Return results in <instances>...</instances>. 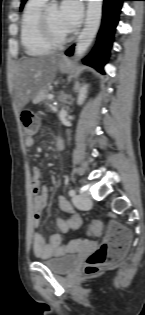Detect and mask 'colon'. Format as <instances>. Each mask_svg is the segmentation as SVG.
Wrapping results in <instances>:
<instances>
[{
    "mask_svg": "<svg viewBox=\"0 0 145 315\" xmlns=\"http://www.w3.org/2000/svg\"><path fill=\"white\" fill-rule=\"evenodd\" d=\"M21 123L24 135L31 138L38 129V119L32 111L21 113ZM101 230L99 221L90 223L89 231L92 235H98ZM131 243L129 230L120 223L112 222L108 233L101 245L87 258L85 272L89 275L95 274L105 268L111 267L119 262L124 256Z\"/></svg>",
    "mask_w": 145,
    "mask_h": 315,
    "instance_id": "1",
    "label": "colon"
}]
</instances>
